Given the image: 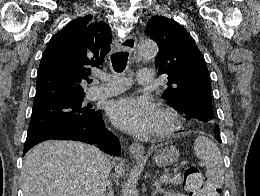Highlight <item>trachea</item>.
I'll return each mask as SVG.
<instances>
[{"mask_svg":"<svg viewBox=\"0 0 260 196\" xmlns=\"http://www.w3.org/2000/svg\"><path fill=\"white\" fill-rule=\"evenodd\" d=\"M111 62L114 71H116L117 73H122L125 70L128 62V53L126 51L113 53L111 55Z\"/></svg>","mask_w":260,"mask_h":196,"instance_id":"trachea-1","label":"trachea"}]
</instances>
